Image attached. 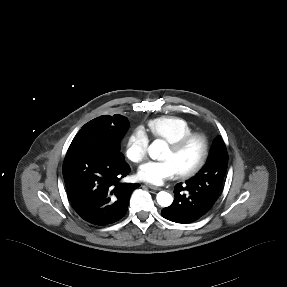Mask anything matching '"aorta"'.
I'll return each mask as SVG.
<instances>
[{
    "label": "aorta",
    "mask_w": 287,
    "mask_h": 287,
    "mask_svg": "<svg viewBox=\"0 0 287 287\" xmlns=\"http://www.w3.org/2000/svg\"><path fill=\"white\" fill-rule=\"evenodd\" d=\"M167 149V144L163 140H155L149 147H148V153L149 156L153 159H160L161 153ZM157 203L161 207H168L172 204L173 202V197L170 193L165 192V191H160L157 194Z\"/></svg>",
    "instance_id": "1"
}]
</instances>
